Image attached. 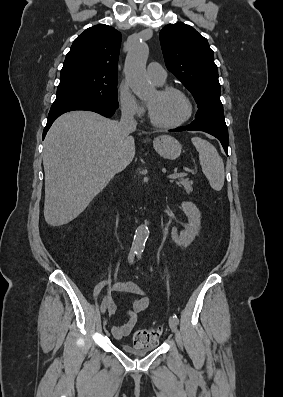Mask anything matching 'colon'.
<instances>
[{"label":"colon","instance_id":"5ec220e1","mask_svg":"<svg viewBox=\"0 0 283 397\" xmlns=\"http://www.w3.org/2000/svg\"><path fill=\"white\" fill-rule=\"evenodd\" d=\"M159 330L156 328L137 330L133 337V343L136 347H149L156 343Z\"/></svg>","mask_w":283,"mask_h":397}]
</instances>
